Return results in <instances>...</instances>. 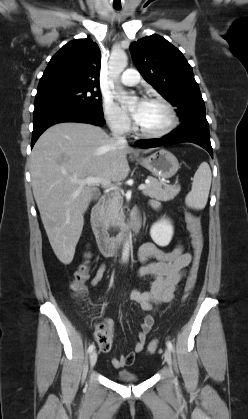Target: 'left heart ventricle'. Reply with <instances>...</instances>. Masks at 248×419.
I'll return each instance as SVG.
<instances>
[{
    "label": "left heart ventricle",
    "instance_id": "1",
    "mask_svg": "<svg viewBox=\"0 0 248 419\" xmlns=\"http://www.w3.org/2000/svg\"><path fill=\"white\" fill-rule=\"evenodd\" d=\"M168 122L169 115L166 109L161 104L151 101H146L141 116L137 120L139 127L149 132L161 130Z\"/></svg>",
    "mask_w": 248,
    "mask_h": 419
}]
</instances>
